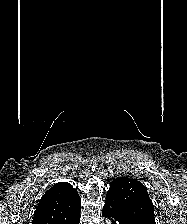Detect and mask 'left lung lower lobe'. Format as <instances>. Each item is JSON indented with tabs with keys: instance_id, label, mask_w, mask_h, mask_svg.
<instances>
[{
	"instance_id": "0a47b994",
	"label": "left lung lower lobe",
	"mask_w": 187,
	"mask_h": 224,
	"mask_svg": "<svg viewBox=\"0 0 187 224\" xmlns=\"http://www.w3.org/2000/svg\"><path fill=\"white\" fill-rule=\"evenodd\" d=\"M102 214L111 219L112 224H143L127 217L117 202L110 196H106Z\"/></svg>"
}]
</instances>
